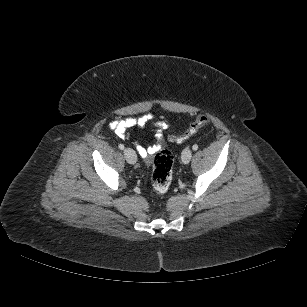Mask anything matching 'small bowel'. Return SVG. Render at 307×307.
<instances>
[{"instance_id":"1","label":"small bowel","mask_w":307,"mask_h":307,"mask_svg":"<svg viewBox=\"0 0 307 307\" xmlns=\"http://www.w3.org/2000/svg\"><path fill=\"white\" fill-rule=\"evenodd\" d=\"M152 120L150 114H145L141 117H130L127 119L114 120L109 126L120 138H125L128 131L134 127L143 128L148 125ZM152 126L155 128L156 140L155 143L148 147H143L138 145L137 151L143 158H148L150 155L158 151L163 145L162 131L168 127V124L164 120L156 121L152 123Z\"/></svg>"}]
</instances>
